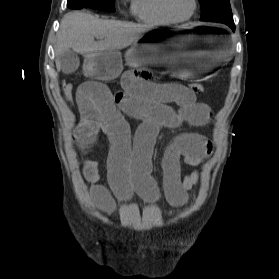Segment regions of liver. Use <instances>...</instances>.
<instances>
[{"label":"liver","instance_id":"obj_1","mask_svg":"<svg viewBox=\"0 0 279 279\" xmlns=\"http://www.w3.org/2000/svg\"><path fill=\"white\" fill-rule=\"evenodd\" d=\"M150 30L149 25L102 20L79 11L68 13L62 19L57 35L56 68L61 69L59 56L67 50L72 49L92 59L103 51L126 48ZM95 37L101 40L95 41Z\"/></svg>","mask_w":279,"mask_h":279}]
</instances>
